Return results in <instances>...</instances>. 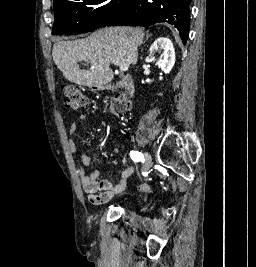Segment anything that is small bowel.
Segmentation results:
<instances>
[{"label":"small bowel","instance_id":"1","mask_svg":"<svg viewBox=\"0 0 256 267\" xmlns=\"http://www.w3.org/2000/svg\"><path fill=\"white\" fill-rule=\"evenodd\" d=\"M85 115H81L79 120H84ZM78 129V122L74 121L69 126V133L75 135ZM69 149L77 154L80 158L79 161L75 163L76 173L80 179L82 188L84 192L88 195L89 200L92 204L98 205L109 201L115 194L120 193L124 190L126 186L127 179L134 173L135 168L133 166L127 167L123 170L119 176L118 182L116 184L112 183L107 179H98L97 171H87L84 167L85 165L93 164V160L85 155L82 150L78 147L74 139H69L68 141ZM119 147H114L113 153L119 154Z\"/></svg>","mask_w":256,"mask_h":267}]
</instances>
